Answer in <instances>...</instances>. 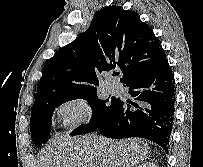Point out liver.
Instances as JSON below:
<instances>
[{
	"mask_svg": "<svg viewBox=\"0 0 203 167\" xmlns=\"http://www.w3.org/2000/svg\"><path fill=\"white\" fill-rule=\"evenodd\" d=\"M148 153L150 147L137 138L61 137L41 151L36 167H137Z\"/></svg>",
	"mask_w": 203,
	"mask_h": 167,
	"instance_id": "6515ba94",
	"label": "liver"
}]
</instances>
